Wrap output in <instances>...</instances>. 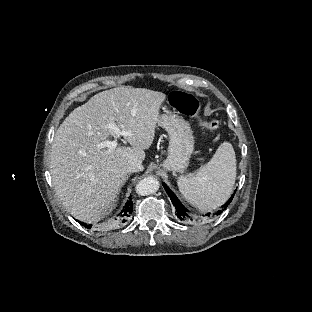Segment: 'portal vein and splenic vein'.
<instances>
[{"label":"portal vein and splenic vein","mask_w":312,"mask_h":312,"mask_svg":"<svg viewBox=\"0 0 312 312\" xmlns=\"http://www.w3.org/2000/svg\"><path fill=\"white\" fill-rule=\"evenodd\" d=\"M107 128L109 130L112 131V134L114 135L115 138H119L121 135L122 136H131V132L129 131H121L119 129V127L116 125L114 120H111L107 126ZM99 148H108V149H115L117 147V140H113V141H109V140H105L103 142H101L100 144H98Z\"/></svg>","instance_id":"obj_1"}]
</instances>
